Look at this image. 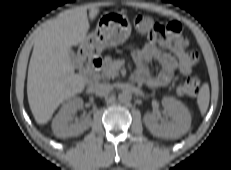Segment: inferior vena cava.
Returning <instances> with one entry per match:
<instances>
[{"label":"inferior vena cava","mask_w":231,"mask_h":170,"mask_svg":"<svg viewBox=\"0 0 231 170\" xmlns=\"http://www.w3.org/2000/svg\"><path fill=\"white\" fill-rule=\"evenodd\" d=\"M112 86L108 83L98 84L95 88V93L98 96H105L110 93Z\"/></svg>","instance_id":"obj_1"}]
</instances>
